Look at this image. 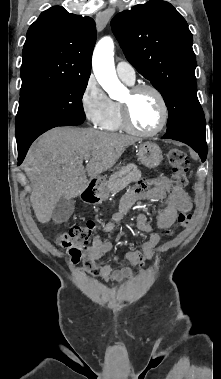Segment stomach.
<instances>
[{
  "mask_svg": "<svg viewBox=\"0 0 221 379\" xmlns=\"http://www.w3.org/2000/svg\"><path fill=\"white\" fill-rule=\"evenodd\" d=\"M137 156L139 161L148 168L157 167L163 160V155L160 147L154 142H144L139 145ZM98 196L100 199H105L108 196V188L101 183L98 188Z\"/></svg>",
  "mask_w": 221,
  "mask_h": 379,
  "instance_id": "obj_1",
  "label": "stomach"
}]
</instances>
